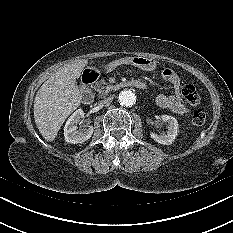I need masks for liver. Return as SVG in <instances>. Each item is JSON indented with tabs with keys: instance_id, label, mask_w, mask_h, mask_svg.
Masks as SVG:
<instances>
[{
	"instance_id": "1",
	"label": "liver",
	"mask_w": 233,
	"mask_h": 233,
	"mask_svg": "<svg viewBox=\"0 0 233 233\" xmlns=\"http://www.w3.org/2000/svg\"><path fill=\"white\" fill-rule=\"evenodd\" d=\"M86 65L87 60L67 64L39 88L34 100V119L45 140L55 139L66 118L82 102L76 79Z\"/></svg>"
}]
</instances>
